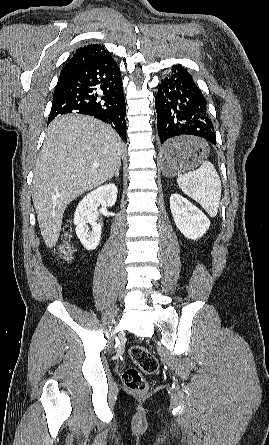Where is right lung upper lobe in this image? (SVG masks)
Wrapping results in <instances>:
<instances>
[{"instance_id":"cb5924a9","label":"right lung upper lobe","mask_w":269,"mask_h":445,"mask_svg":"<svg viewBox=\"0 0 269 445\" xmlns=\"http://www.w3.org/2000/svg\"><path fill=\"white\" fill-rule=\"evenodd\" d=\"M108 56H110L109 52L100 44L79 48L69 62L63 66L58 82L66 79L79 68Z\"/></svg>"}]
</instances>
